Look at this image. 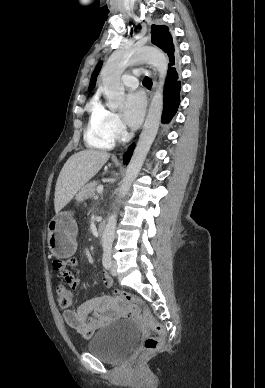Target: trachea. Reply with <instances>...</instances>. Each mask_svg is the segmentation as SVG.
<instances>
[{
  "mask_svg": "<svg viewBox=\"0 0 265 388\" xmlns=\"http://www.w3.org/2000/svg\"><path fill=\"white\" fill-rule=\"evenodd\" d=\"M144 84H146V85H151L152 82H151L150 78L146 77V78L144 79Z\"/></svg>",
  "mask_w": 265,
  "mask_h": 388,
  "instance_id": "1",
  "label": "trachea"
}]
</instances>
